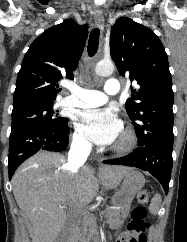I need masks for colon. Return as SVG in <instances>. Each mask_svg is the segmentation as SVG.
Listing matches in <instances>:
<instances>
[{
  "mask_svg": "<svg viewBox=\"0 0 187 242\" xmlns=\"http://www.w3.org/2000/svg\"><path fill=\"white\" fill-rule=\"evenodd\" d=\"M148 201L149 194L147 190L138 193V205L134 208L128 225L130 236L122 240V242H147V232L150 228V223L146 220Z\"/></svg>",
  "mask_w": 187,
  "mask_h": 242,
  "instance_id": "1",
  "label": "colon"
}]
</instances>
